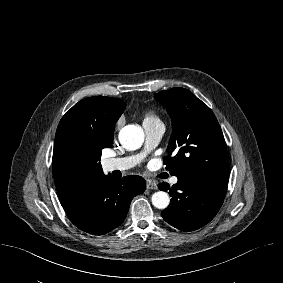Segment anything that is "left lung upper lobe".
<instances>
[{
  "mask_svg": "<svg viewBox=\"0 0 283 283\" xmlns=\"http://www.w3.org/2000/svg\"><path fill=\"white\" fill-rule=\"evenodd\" d=\"M172 119L173 133L163 161L171 175L227 188L229 162L220 125L192 92L171 88L155 94Z\"/></svg>",
  "mask_w": 283,
  "mask_h": 283,
  "instance_id": "1",
  "label": "left lung upper lobe"
}]
</instances>
